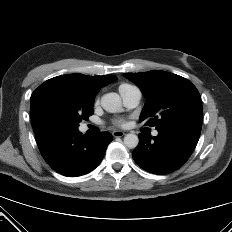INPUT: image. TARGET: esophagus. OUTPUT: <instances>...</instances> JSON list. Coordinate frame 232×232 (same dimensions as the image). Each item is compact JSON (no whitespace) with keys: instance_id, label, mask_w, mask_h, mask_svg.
<instances>
[{"instance_id":"obj_1","label":"esophagus","mask_w":232,"mask_h":232,"mask_svg":"<svg viewBox=\"0 0 232 232\" xmlns=\"http://www.w3.org/2000/svg\"><path fill=\"white\" fill-rule=\"evenodd\" d=\"M112 135H113V137H122V136L125 135V132L119 131V130H115V131L112 132Z\"/></svg>"}]
</instances>
